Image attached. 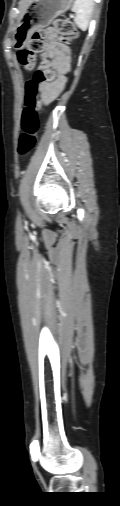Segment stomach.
Wrapping results in <instances>:
<instances>
[{
  "instance_id": "1",
  "label": "stomach",
  "mask_w": 120,
  "mask_h": 506,
  "mask_svg": "<svg viewBox=\"0 0 120 506\" xmlns=\"http://www.w3.org/2000/svg\"><path fill=\"white\" fill-rule=\"evenodd\" d=\"M72 4L73 0H33L13 31V47L16 50L26 47L34 29L49 25Z\"/></svg>"
}]
</instances>
